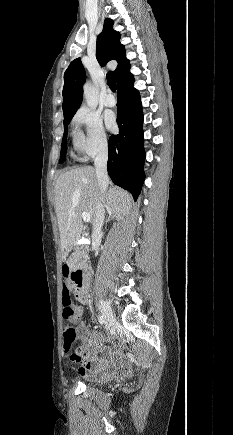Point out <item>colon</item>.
Segmentation results:
<instances>
[{
    "instance_id": "5ec220e1",
    "label": "colon",
    "mask_w": 233,
    "mask_h": 435,
    "mask_svg": "<svg viewBox=\"0 0 233 435\" xmlns=\"http://www.w3.org/2000/svg\"><path fill=\"white\" fill-rule=\"evenodd\" d=\"M63 280L64 283L75 284L77 282V277L75 276L72 269L68 266L63 268ZM63 319L65 321L63 329V347L66 352L71 353V360L76 362L81 358L80 352L75 349L78 342V336L76 332L75 321L79 314V310L71 302L70 297H63Z\"/></svg>"
}]
</instances>
